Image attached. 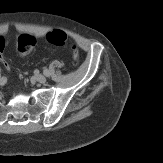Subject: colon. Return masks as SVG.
Listing matches in <instances>:
<instances>
[{
	"label": "colon",
	"instance_id": "1",
	"mask_svg": "<svg viewBox=\"0 0 163 163\" xmlns=\"http://www.w3.org/2000/svg\"><path fill=\"white\" fill-rule=\"evenodd\" d=\"M46 39L49 43L56 46H65L68 43L67 35L58 29L48 32ZM37 41L35 37L29 34H23L18 38L16 50L20 56H26L29 54L36 46ZM5 43L4 40L0 37V63L7 65L6 60L3 57ZM72 57L73 62L76 64L79 59V51L76 45H72Z\"/></svg>",
	"mask_w": 163,
	"mask_h": 163
}]
</instances>
